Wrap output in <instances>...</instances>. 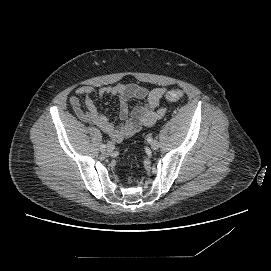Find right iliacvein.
<instances>
[{
    "mask_svg": "<svg viewBox=\"0 0 271 271\" xmlns=\"http://www.w3.org/2000/svg\"><path fill=\"white\" fill-rule=\"evenodd\" d=\"M114 149H115V145H114L112 142H109V143L107 144V151H108L109 153H111V152L114 151Z\"/></svg>",
    "mask_w": 271,
    "mask_h": 271,
    "instance_id": "63e3f726",
    "label": "right iliac vein"
}]
</instances>
